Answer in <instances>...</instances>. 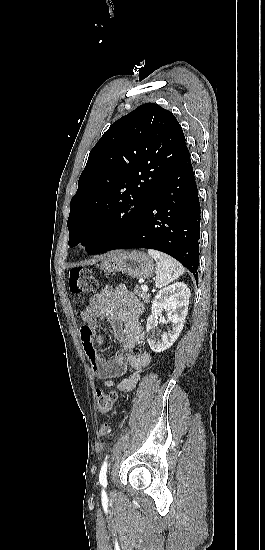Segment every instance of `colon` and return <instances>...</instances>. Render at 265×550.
Here are the masks:
<instances>
[{"mask_svg":"<svg viewBox=\"0 0 265 550\" xmlns=\"http://www.w3.org/2000/svg\"><path fill=\"white\" fill-rule=\"evenodd\" d=\"M69 286L72 294L84 295L95 292L98 289L99 282L93 271L85 268H74L70 271ZM96 398L100 411L104 414H110L119 400V395L114 391L103 392L97 390ZM99 433L102 437L110 435L111 430L107 423L103 422L101 424Z\"/></svg>","mask_w":265,"mask_h":550,"instance_id":"colon-1","label":"colon"}]
</instances>
